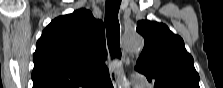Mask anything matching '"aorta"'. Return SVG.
<instances>
[{
  "label": "aorta",
  "instance_id": "1",
  "mask_svg": "<svg viewBox=\"0 0 223 88\" xmlns=\"http://www.w3.org/2000/svg\"><path fill=\"white\" fill-rule=\"evenodd\" d=\"M123 46L127 51L140 52L144 46L143 37L137 33L127 34L123 37ZM120 81H124V76H120Z\"/></svg>",
  "mask_w": 223,
  "mask_h": 88
}]
</instances>
